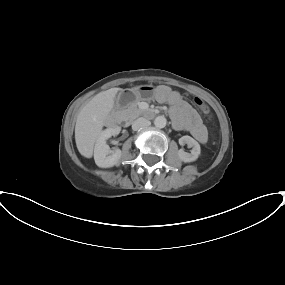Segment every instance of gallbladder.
Masks as SVG:
<instances>
[{"mask_svg": "<svg viewBox=\"0 0 285 285\" xmlns=\"http://www.w3.org/2000/svg\"><path fill=\"white\" fill-rule=\"evenodd\" d=\"M120 95H121V98H123V96H124V92H123V91H121V92H120Z\"/></svg>", "mask_w": 285, "mask_h": 285, "instance_id": "bac80fb5", "label": "gallbladder"}]
</instances>
